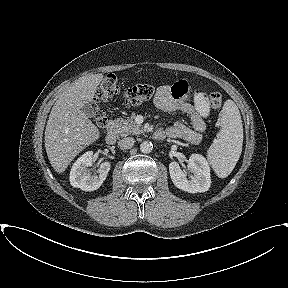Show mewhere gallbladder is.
Wrapping results in <instances>:
<instances>
[{
  "mask_svg": "<svg viewBox=\"0 0 288 288\" xmlns=\"http://www.w3.org/2000/svg\"><path fill=\"white\" fill-rule=\"evenodd\" d=\"M83 113H85L89 118L95 116L94 108L90 104H85L82 108Z\"/></svg>",
  "mask_w": 288,
  "mask_h": 288,
  "instance_id": "gallbladder-1",
  "label": "gallbladder"
}]
</instances>
